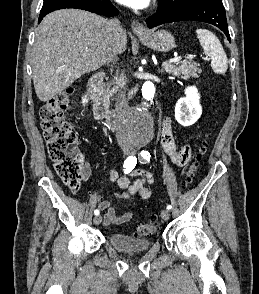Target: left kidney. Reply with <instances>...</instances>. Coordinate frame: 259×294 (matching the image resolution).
Returning <instances> with one entry per match:
<instances>
[{
    "instance_id": "5707ae66",
    "label": "left kidney",
    "mask_w": 259,
    "mask_h": 294,
    "mask_svg": "<svg viewBox=\"0 0 259 294\" xmlns=\"http://www.w3.org/2000/svg\"><path fill=\"white\" fill-rule=\"evenodd\" d=\"M185 97L180 98L175 106V118L182 126L194 124L202 114L200 95L196 87H187Z\"/></svg>"
}]
</instances>
